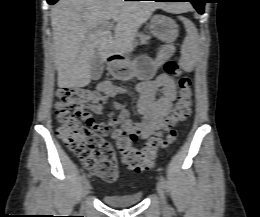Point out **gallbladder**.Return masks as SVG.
<instances>
[{
  "mask_svg": "<svg viewBox=\"0 0 260 217\" xmlns=\"http://www.w3.org/2000/svg\"><path fill=\"white\" fill-rule=\"evenodd\" d=\"M103 68V63L101 62L99 55L96 53L91 62V79L94 81L100 79L103 74Z\"/></svg>",
  "mask_w": 260,
  "mask_h": 217,
  "instance_id": "gallbladder-1",
  "label": "gallbladder"
}]
</instances>
